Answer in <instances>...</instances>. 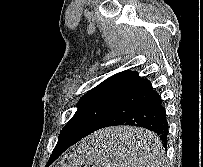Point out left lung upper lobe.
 I'll return each instance as SVG.
<instances>
[{
    "mask_svg": "<svg viewBox=\"0 0 203 167\" xmlns=\"http://www.w3.org/2000/svg\"><path fill=\"white\" fill-rule=\"evenodd\" d=\"M137 76V72L126 70L109 77L87 92L79 100L75 115L61 130L58 140L71 135H88L95 131Z\"/></svg>",
    "mask_w": 203,
    "mask_h": 167,
    "instance_id": "obj_1",
    "label": "left lung upper lobe"
}]
</instances>
